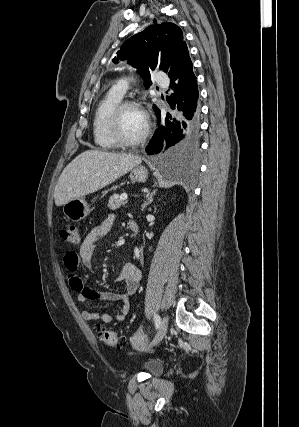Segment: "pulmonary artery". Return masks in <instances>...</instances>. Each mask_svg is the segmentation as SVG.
Returning a JSON list of instances; mask_svg holds the SVG:
<instances>
[{
    "label": "pulmonary artery",
    "instance_id": "pulmonary-artery-1",
    "mask_svg": "<svg viewBox=\"0 0 299 427\" xmlns=\"http://www.w3.org/2000/svg\"><path fill=\"white\" fill-rule=\"evenodd\" d=\"M157 82L162 86H166L168 84V80L165 77V74L161 71H159L157 74ZM112 89L118 94L124 96L129 89V82L126 78H121L114 83Z\"/></svg>",
    "mask_w": 299,
    "mask_h": 427
}]
</instances>
